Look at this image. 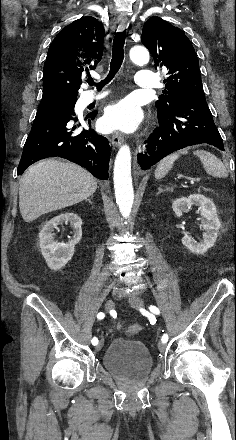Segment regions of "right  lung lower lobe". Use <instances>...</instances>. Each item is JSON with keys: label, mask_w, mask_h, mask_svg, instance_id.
<instances>
[{"label": "right lung lower lobe", "mask_w": 236, "mask_h": 440, "mask_svg": "<svg viewBox=\"0 0 236 440\" xmlns=\"http://www.w3.org/2000/svg\"><path fill=\"white\" fill-rule=\"evenodd\" d=\"M75 103L38 107L23 148L18 175L41 159L61 157L86 168L99 179H108L109 141L91 127H82L85 122L91 125L96 114L90 113L83 119L74 117Z\"/></svg>", "instance_id": "obj_1"}]
</instances>
